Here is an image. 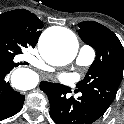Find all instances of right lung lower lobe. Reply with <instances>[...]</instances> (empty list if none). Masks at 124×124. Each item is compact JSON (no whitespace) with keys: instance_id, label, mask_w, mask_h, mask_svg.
Masks as SVG:
<instances>
[{"instance_id":"98d812e1","label":"right lung lower lobe","mask_w":124,"mask_h":124,"mask_svg":"<svg viewBox=\"0 0 124 124\" xmlns=\"http://www.w3.org/2000/svg\"><path fill=\"white\" fill-rule=\"evenodd\" d=\"M17 66L13 61L0 59V120L18 113L24 103V95L14 91L7 79L10 71Z\"/></svg>"}]
</instances>
